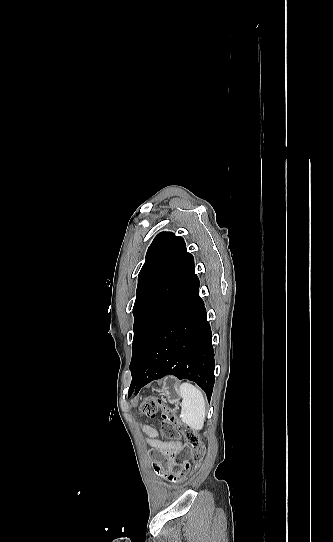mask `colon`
I'll list each match as a JSON object with an SVG mask.
<instances>
[{
	"mask_svg": "<svg viewBox=\"0 0 333 542\" xmlns=\"http://www.w3.org/2000/svg\"><path fill=\"white\" fill-rule=\"evenodd\" d=\"M161 411V432L165 438H183L188 448L174 449L172 456L162 455L153 464L155 473L170 484H177L186 473L196 470L202 463L206 448L199 435L190 427L176 420L174 412L163 406L161 400L148 396L140 405V412L147 418H154Z\"/></svg>",
	"mask_w": 333,
	"mask_h": 542,
	"instance_id": "1",
	"label": "colon"
}]
</instances>
